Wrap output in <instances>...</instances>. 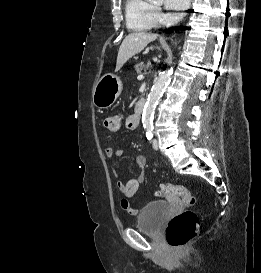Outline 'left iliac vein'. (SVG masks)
I'll list each match as a JSON object with an SVG mask.
<instances>
[{"label": "left iliac vein", "instance_id": "obj_1", "mask_svg": "<svg viewBox=\"0 0 261 273\" xmlns=\"http://www.w3.org/2000/svg\"><path fill=\"white\" fill-rule=\"evenodd\" d=\"M152 145H153V148H154L155 150H158V141H157V139H154V140H153Z\"/></svg>", "mask_w": 261, "mask_h": 273}]
</instances>
